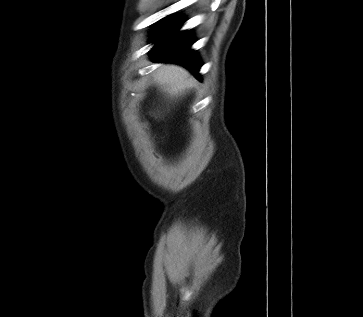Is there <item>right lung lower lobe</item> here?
Returning <instances> with one entry per match:
<instances>
[{
  "label": "right lung lower lobe",
  "mask_w": 363,
  "mask_h": 317,
  "mask_svg": "<svg viewBox=\"0 0 363 317\" xmlns=\"http://www.w3.org/2000/svg\"><path fill=\"white\" fill-rule=\"evenodd\" d=\"M182 23L181 19L168 18L160 25L152 38L156 42L151 50L152 60L179 63L201 79L198 74L201 63L195 52L190 50L194 40L189 32H178Z\"/></svg>",
  "instance_id": "obj_1"
}]
</instances>
